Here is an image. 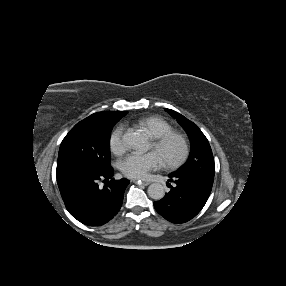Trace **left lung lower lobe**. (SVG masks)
Masks as SVG:
<instances>
[{
    "label": "left lung lower lobe",
    "mask_w": 286,
    "mask_h": 286,
    "mask_svg": "<svg viewBox=\"0 0 286 286\" xmlns=\"http://www.w3.org/2000/svg\"><path fill=\"white\" fill-rule=\"evenodd\" d=\"M167 186L171 190L154 202L156 211L172 223H185L206 204L212 190L214 172H173Z\"/></svg>",
    "instance_id": "0a47b994"
}]
</instances>
